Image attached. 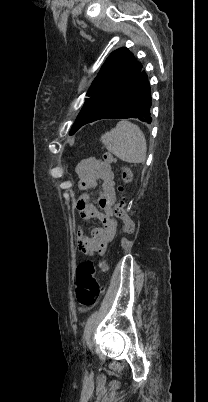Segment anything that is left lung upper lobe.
Segmentation results:
<instances>
[{"mask_svg":"<svg viewBox=\"0 0 208 402\" xmlns=\"http://www.w3.org/2000/svg\"><path fill=\"white\" fill-rule=\"evenodd\" d=\"M142 65L125 48L115 50L101 67L87 92L89 99L73 124L70 135L86 123L94 122L112 106L141 72Z\"/></svg>","mask_w":208,"mask_h":402,"instance_id":"obj_1","label":"left lung upper lobe"}]
</instances>
